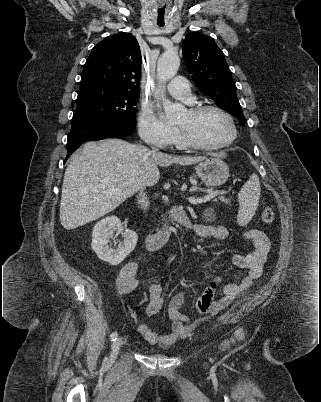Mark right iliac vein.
I'll list each match as a JSON object with an SVG mask.
<instances>
[{"label": "right iliac vein", "mask_w": 321, "mask_h": 402, "mask_svg": "<svg viewBox=\"0 0 321 402\" xmlns=\"http://www.w3.org/2000/svg\"><path fill=\"white\" fill-rule=\"evenodd\" d=\"M122 344V339L120 337L116 338L111 345L110 360H114L117 357L120 346Z\"/></svg>", "instance_id": "obj_1"}]
</instances>
